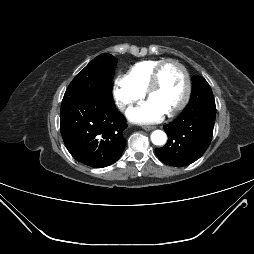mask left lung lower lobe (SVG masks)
I'll list each match as a JSON object with an SVG mask.
<instances>
[{
	"mask_svg": "<svg viewBox=\"0 0 254 254\" xmlns=\"http://www.w3.org/2000/svg\"><path fill=\"white\" fill-rule=\"evenodd\" d=\"M215 117V104L189 103L174 121L164 126L168 141L155 149L158 158L176 167L199 159L211 142Z\"/></svg>",
	"mask_w": 254,
	"mask_h": 254,
	"instance_id": "left-lung-lower-lobe-1",
	"label": "left lung lower lobe"
}]
</instances>
